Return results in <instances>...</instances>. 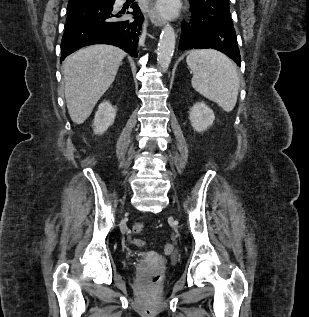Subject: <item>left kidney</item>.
Wrapping results in <instances>:
<instances>
[{
	"label": "left kidney",
	"mask_w": 309,
	"mask_h": 317,
	"mask_svg": "<svg viewBox=\"0 0 309 317\" xmlns=\"http://www.w3.org/2000/svg\"><path fill=\"white\" fill-rule=\"evenodd\" d=\"M189 119L195 131L203 132L212 125L215 116L206 104L198 102L192 107Z\"/></svg>",
	"instance_id": "obj_1"
}]
</instances>
